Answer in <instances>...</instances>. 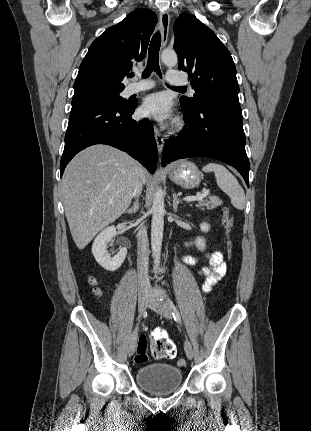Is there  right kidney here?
Instances as JSON below:
<instances>
[{
    "mask_svg": "<svg viewBox=\"0 0 311 431\" xmlns=\"http://www.w3.org/2000/svg\"><path fill=\"white\" fill-rule=\"evenodd\" d=\"M115 233V225H109V227L103 229L101 233H98L92 245V253L96 261H98L104 269H108V271H115V269H118L127 255V247H121L120 251H118L116 255H113V257L108 253L107 243L112 241V237Z\"/></svg>",
    "mask_w": 311,
    "mask_h": 431,
    "instance_id": "ca27d5eb",
    "label": "right kidney"
}]
</instances>
